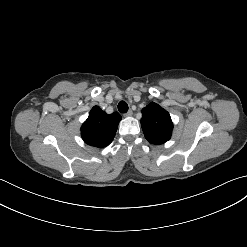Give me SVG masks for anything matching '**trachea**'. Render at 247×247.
Returning a JSON list of instances; mask_svg holds the SVG:
<instances>
[{
  "label": "trachea",
  "instance_id": "trachea-1",
  "mask_svg": "<svg viewBox=\"0 0 247 247\" xmlns=\"http://www.w3.org/2000/svg\"><path fill=\"white\" fill-rule=\"evenodd\" d=\"M118 110L120 113H126L128 111V104L125 101H120L118 104Z\"/></svg>",
  "mask_w": 247,
  "mask_h": 247
}]
</instances>
